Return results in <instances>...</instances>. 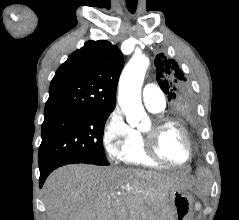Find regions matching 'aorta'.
Returning <instances> with one entry per match:
<instances>
[{
    "label": "aorta",
    "instance_id": "762f6f07",
    "mask_svg": "<svg viewBox=\"0 0 239 220\" xmlns=\"http://www.w3.org/2000/svg\"><path fill=\"white\" fill-rule=\"evenodd\" d=\"M148 65L149 59L145 55H135L121 74L118 102L131 126H137L146 117L141 102V86Z\"/></svg>",
    "mask_w": 239,
    "mask_h": 220
}]
</instances>
